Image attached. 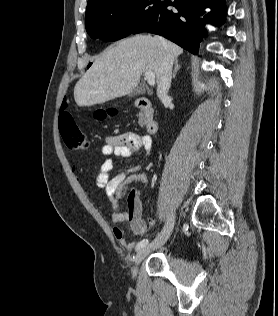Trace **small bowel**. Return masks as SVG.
<instances>
[{
    "label": "small bowel",
    "mask_w": 278,
    "mask_h": 316,
    "mask_svg": "<svg viewBox=\"0 0 278 316\" xmlns=\"http://www.w3.org/2000/svg\"><path fill=\"white\" fill-rule=\"evenodd\" d=\"M144 149L147 154L151 151L149 136H141L133 132L108 136L101 148L106 159L101 164L97 175V184L104 189L111 204L117 206V193L132 182L147 183L148 177L141 172V165H135L123 172L111 176L114 169L112 156L127 158ZM142 203L137 192H132L127 200V210H116L112 213L111 220L114 224L128 222L134 235L143 236L148 226L155 224L153 218L143 219ZM113 235L120 245L128 250L133 249L134 243L128 242L122 228L115 226Z\"/></svg>",
    "instance_id": "small-bowel-1"
}]
</instances>
